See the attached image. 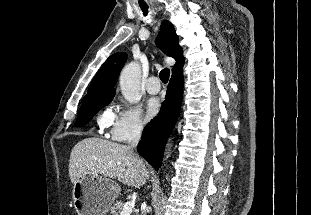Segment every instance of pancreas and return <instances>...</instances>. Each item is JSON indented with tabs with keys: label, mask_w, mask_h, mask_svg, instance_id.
<instances>
[{
	"label": "pancreas",
	"mask_w": 311,
	"mask_h": 215,
	"mask_svg": "<svg viewBox=\"0 0 311 215\" xmlns=\"http://www.w3.org/2000/svg\"><path fill=\"white\" fill-rule=\"evenodd\" d=\"M124 203L122 201H117L111 207L110 211L112 215H119L123 209Z\"/></svg>",
	"instance_id": "obj_1"
}]
</instances>
